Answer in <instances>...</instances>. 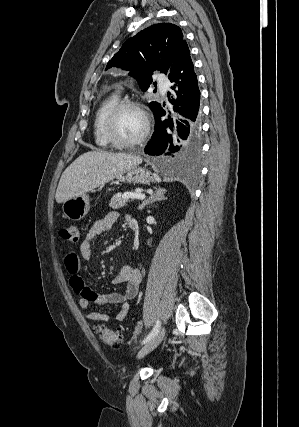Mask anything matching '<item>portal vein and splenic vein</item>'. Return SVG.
<instances>
[{"mask_svg":"<svg viewBox=\"0 0 299 427\" xmlns=\"http://www.w3.org/2000/svg\"><path fill=\"white\" fill-rule=\"evenodd\" d=\"M123 198H126V199L132 198V199L143 200V199H145V195L144 194H136V193H125L123 195Z\"/></svg>","mask_w":299,"mask_h":427,"instance_id":"obj_1","label":"portal vein and splenic vein"}]
</instances>
